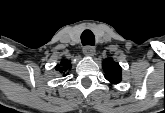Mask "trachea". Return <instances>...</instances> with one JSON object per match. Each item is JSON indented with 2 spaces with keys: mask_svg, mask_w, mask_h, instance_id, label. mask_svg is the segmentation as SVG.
I'll list each match as a JSON object with an SVG mask.
<instances>
[{
  "mask_svg": "<svg viewBox=\"0 0 165 113\" xmlns=\"http://www.w3.org/2000/svg\"><path fill=\"white\" fill-rule=\"evenodd\" d=\"M81 42L83 45L93 46L95 44V36L90 30H84L81 34Z\"/></svg>",
  "mask_w": 165,
  "mask_h": 113,
  "instance_id": "obj_1",
  "label": "trachea"
}]
</instances>
